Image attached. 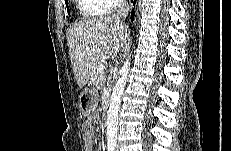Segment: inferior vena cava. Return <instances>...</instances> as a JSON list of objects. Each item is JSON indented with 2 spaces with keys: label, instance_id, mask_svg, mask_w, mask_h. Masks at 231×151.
<instances>
[{
  "label": "inferior vena cava",
  "instance_id": "602c4592",
  "mask_svg": "<svg viewBox=\"0 0 231 151\" xmlns=\"http://www.w3.org/2000/svg\"><path fill=\"white\" fill-rule=\"evenodd\" d=\"M129 12V5L127 0H118V8L112 15V18L118 22H121Z\"/></svg>",
  "mask_w": 231,
  "mask_h": 151
}]
</instances>
